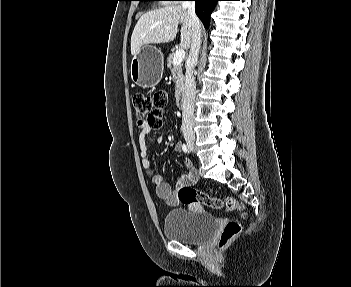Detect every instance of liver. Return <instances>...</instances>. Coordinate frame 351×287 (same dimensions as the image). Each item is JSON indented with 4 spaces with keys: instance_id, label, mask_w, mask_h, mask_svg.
<instances>
[{
    "instance_id": "obj_1",
    "label": "liver",
    "mask_w": 351,
    "mask_h": 287,
    "mask_svg": "<svg viewBox=\"0 0 351 287\" xmlns=\"http://www.w3.org/2000/svg\"><path fill=\"white\" fill-rule=\"evenodd\" d=\"M181 25V46L189 49L194 29L185 8L172 4L144 13L131 36V54L136 55L142 46L173 41Z\"/></svg>"
}]
</instances>
